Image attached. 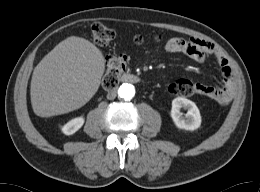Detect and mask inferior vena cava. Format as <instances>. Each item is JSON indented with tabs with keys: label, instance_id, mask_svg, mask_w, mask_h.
<instances>
[{
	"label": "inferior vena cava",
	"instance_id": "1",
	"mask_svg": "<svg viewBox=\"0 0 260 192\" xmlns=\"http://www.w3.org/2000/svg\"><path fill=\"white\" fill-rule=\"evenodd\" d=\"M117 96V92L115 90H112L110 91L108 94H107V99L109 100H113L115 99Z\"/></svg>",
	"mask_w": 260,
	"mask_h": 192
}]
</instances>
